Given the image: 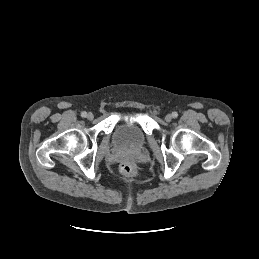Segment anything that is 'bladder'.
Returning <instances> with one entry per match:
<instances>
[{
	"label": "bladder",
	"instance_id": "bladder-1",
	"mask_svg": "<svg viewBox=\"0 0 259 259\" xmlns=\"http://www.w3.org/2000/svg\"><path fill=\"white\" fill-rule=\"evenodd\" d=\"M113 143L119 149L139 150L146 143V135L139 124L125 121L116 126Z\"/></svg>",
	"mask_w": 259,
	"mask_h": 259
}]
</instances>
